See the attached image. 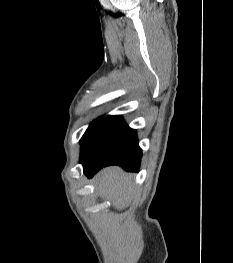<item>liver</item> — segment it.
<instances>
[{"label": "liver", "mask_w": 233, "mask_h": 263, "mask_svg": "<svg viewBox=\"0 0 233 263\" xmlns=\"http://www.w3.org/2000/svg\"><path fill=\"white\" fill-rule=\"evenodd\" d=\"M96 184L99 195L111 201L118 210L125 208L135 193L132 175L126 174L119 167L103 169L96 178Z\"/></svg>", "instance_id": "obj_1"}]
</instances>
